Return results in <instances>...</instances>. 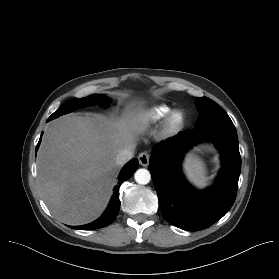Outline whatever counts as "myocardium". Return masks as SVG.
Segmentation results:
<instances>
[{"label":"myocardium","mask_w":279,"mask_h":279,"mask_svg":"<svg viewBox=\"0 0 279 279\" xmlns=\"http://www.w3.org/2000/svg\"><path fill=\"white\" fill-rule=\"evenodd\" d=\"M185 116L179 110H173L165 118V129L169 133H177L184 125Z\"/></svg>","instance_id":"f54148a6"}]
</instances>
